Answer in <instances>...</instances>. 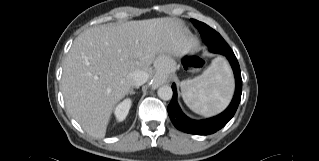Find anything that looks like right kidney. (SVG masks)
Masks as SVG:
<instances>
[{"mask_svg": "<svg viewBox=\"0 0 319 161\" xmlns=\"http://www.w3.org/2000/svg\"><path fill=\"white\" fill-rule=\"evenodd\" d=\"M131 104L132 102L130 99H125L124 101H122L121 103L117 105L114 113L118 121H123L126 118V116L128 115L129 109L131 107Z\"/></svg>", "mask_w": 319, "mask_h": 161, "instance_id": "obj_1", "label": "right kidney"}]
</instances>
